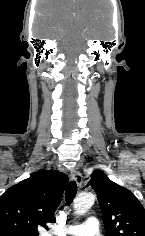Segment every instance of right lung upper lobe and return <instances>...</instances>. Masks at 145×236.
<instances>
[{"instance_id": "cb5924a9", "label": "right lung upper lobe", "mask_w": 145, "mask_h": 236, "mask_svg": "<svg viewBox=\"0 0 145 236\" xmlns=\"http://www.w3.org/2000/svg\"><path fill=\"white\" fill-rule=\"evenodd\" d=\"M68 177L39 171L10 187L0 197V236H39L38 225L54 223Z\"/></svg>"}]
</instances>
